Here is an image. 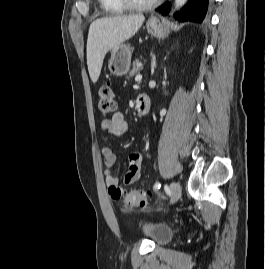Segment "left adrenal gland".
Instances as JSON below:
<instances>
[{
  "label": "left adrenal gland",
  "mask_w": 265,
  "mask_h": 269,
  "mask_svg": "<svg viewBox=\"0 0 265 269\" xmlns=\"http://www.w3.org/2000/svg\"><path fill=\"white\" fill-rule=\"evenodd\" d=\"M152 68L154 69L156 67V58L154 55H152V62H151Z\"/></svg>",
  "instance_id": "obj_1"
}]
</instances>
